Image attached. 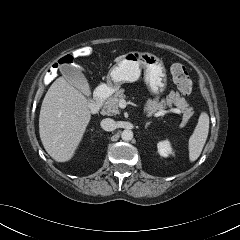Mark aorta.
<instances>
[{"label": "aorta", "instance_id": "762f6f07", "mask_svg": "<svg viewBox=\"0 0 240 240\" xmlns=\"http://www.w3.org/2000/svg\"><path fill=\"white\" fill-rule=\"evenodd\" d=\"M121 138L124 141H130L133 138V132L131 130H123V132L121 133Z\"/></svg>", "mask_w": 240, "mask_h": 240}]
</instances>
